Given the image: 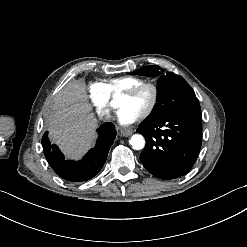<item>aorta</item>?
<instances>
[{
    "label": "aorta",
    "mask_w": 247,
    "mask_h": 247,
    "mask_svg": "<svg viewBox=\"0 0 247 247\" xmlns=\"http://www.w3.org/2000/svg\"><path fill=\"white\" fill-rule=\"evenodd\" d=\"M129 143L135 150H140L145 146V140L143 136L140 134H134L129 140Z\"/></svg>",
    "instance_id": "obj_1"
}]
</instances>
